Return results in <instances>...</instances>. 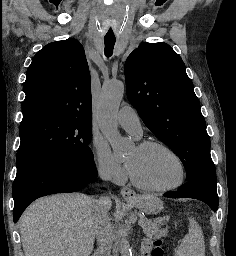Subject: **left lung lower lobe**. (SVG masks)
Instances as JSON below:
<instances>
[{
	"instance_id": "left-lung-lower-lobe-1",
	"label": "left lung lower lobe",
	"mask_w": 236,
	"mask_h": 256,
	"mask_svg": "<svg viewBox=\"0 0 236 256\" xmlns=\"http://www.w3.org/2000/svg\"><path fill=\"white\" fill-rule=\"evenodd\" d=\"M170 198H193L205 202L215 212L218 208L219 198L216 183L206 180H193L182 185L176 192L164 194Z\"/></svg>"
}]
</instances>
